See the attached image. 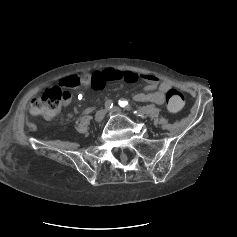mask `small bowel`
Listing matches in <instances>:
<instances>
[{
    "label": "small bowel",
    "mask_w": 237,
    "mask_h": 237,
    "mask_svg": "<svg viewBox=\"0 0 237 237\" xmlns=\"http://www.w3.org/2000/svg\"><path fill=\"white\" fill-rule=\"evenodd\" d=\"M111 81H124L127 83L144 82L146 83L147 93H137L134 100L137 102H150L161 105L165 102V97L170 89V84L161 80L154 74H138L131 71H122L116 69H105L99 73L92 75H84L81 77V84L90 86L94 90L99 91ZM68 100L65 101V104Z\"/></svg>",
    "instance_id": "c3829d8e"
}]
</instances>
